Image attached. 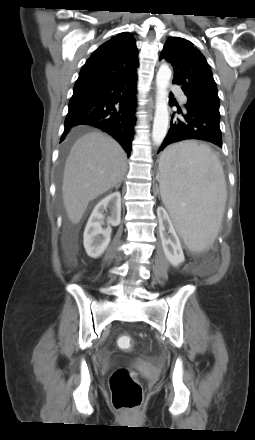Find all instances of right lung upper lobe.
Here are the masks:
<instances>
[{"mask_svg":"<svg viewBox=\"0 0 255 440\" xmlns=\"http://www.w3.org/2000/svg\"><path fill=\"white\" fill-rule=\"evenodd\" d=\"M137 47L130 33H121L97 48L82 67L73 91L105 85L138 67Z\"/></svg>","mask_w":255,"mask_h":440,"instance_id":"obj_1","label":"right lung upper lobe"}]
</instances>
